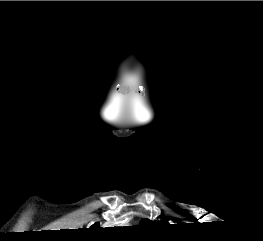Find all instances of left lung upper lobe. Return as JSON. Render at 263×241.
<instances>
[{
	"label": "left lung upper lobe",
	"mask_w": 263,
	"mask_h": 241,
	"mask_svg": "<svg viewBox=\"0 0 263 241\" xmlns=\"http://www.w3.org/2000/svg\"><path fill=\"white\" fill-rule=\"evenodd\" d=\"M150 222V220H148V219H143L142 220V223H149ZM156 223H158V222H156Z\"/></svg>",
	"instance_id": "1"
}]
</instances>
